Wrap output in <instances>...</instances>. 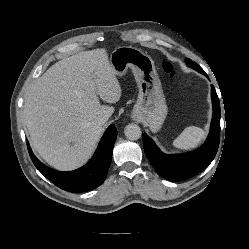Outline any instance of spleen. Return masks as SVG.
<instances>
[{"label":"spleen","instance_id":"1","mask_svg":"<svg viewBox=\"0 0 249 249\" xmlns=\"http://www.w3.org/2000/svg\"><path fill=\"white\" fill-rule=\"evenodd\" d=\"M205 132L200 127L189 126L173 141L179 149L188 150L196 147L204 138Z\"/></svg>","mask_w":249,"mask_h":249}]
</instances>
